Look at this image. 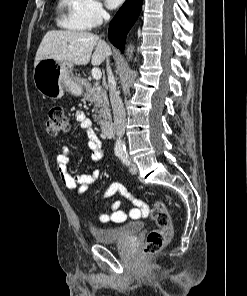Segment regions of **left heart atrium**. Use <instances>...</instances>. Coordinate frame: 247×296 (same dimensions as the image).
<instances>
[{
  "instance_id": "left-heart-atrium-1",
  "label": "left heart atrium",
  "mask_w": 247,
  "mask_h": 296,
  "mask_svg": "<svg viewBox=\"0 0 247 296\" xmlns=\"http://www.w3.org/2000/svg\"><path fill=\"white\" fill-rule=\"evenodd\" d=\"M106 2L110 8H116L123 2V0H106Z\"/></svg>"
}]
</instances>
